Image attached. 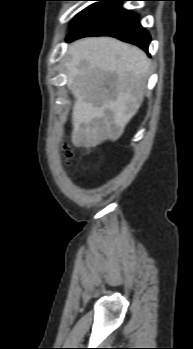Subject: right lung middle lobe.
<instances>
[{
	"label": "right lung middle lobe",
	"mask_w": 193,
	"mask_h": 349,
	"mask_svg": "<svg viewBox=\"0 0 193 349\" xmlns=\"http://www.w3.org/2000/svg\"><path fill=\"white\" fill-rule=\"evenodd\" d=\"M94 1H106V0H94ZM96 7H97V4H92L86 9H84L83 11H81L79 14H77L71 23V27H74L78 22H80L86 15H88Z\"/></svg>",
	"instance_id": "1"
}]
</instances>
